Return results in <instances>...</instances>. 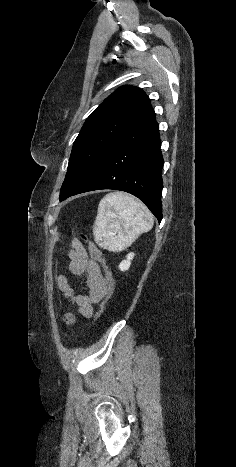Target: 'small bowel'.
Returning a JSON list of instances; mask_svg holds the SVG:
<instances>
[{"mask_svg": "<svg viewBox=\"0 0 236 467\" xmlns=\"http://www.w3.org/2000/svg\"><path fill=\"white\" fill-rule=\"evenodd\" d=\"M69 258V271L75 276L85 275L89 291L87 294H77L64 275L57 278L58 288L81 316L90 318L94 313V305L101 302L108 293L106 279L97 261L88 256L85 248L78 241L71 243ZM64 319L67 323H72L74 315L67 313Z\"/></svg>", "mask_w": 236, "mask_h": 467, "instance_id": "small-bowel-1", "label": "small bowel"}]
</instances>
